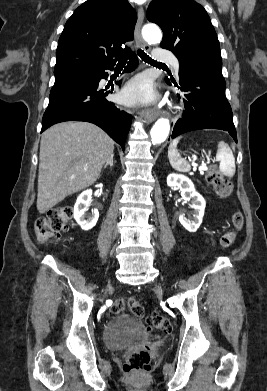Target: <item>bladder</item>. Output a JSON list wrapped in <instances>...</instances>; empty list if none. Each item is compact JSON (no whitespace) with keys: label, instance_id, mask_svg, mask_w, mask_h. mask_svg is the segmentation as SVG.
<instances>
[{"label":"bladder","instance_id":"bladder-1","mask_svg":"<svg viewBox=\"0 0 267 391\" xmlns=\"http://www.w3.org/2000/svg\"><path fill=\"white\" fill-rule=\"evenodd\" d=\"M143 330L140 323L127 315H117L111 318L103 332L106 346L110 349H122L125 346L141 340Z\"/></svg>","mask_w":267,"mask_h":391}]
</instances>
